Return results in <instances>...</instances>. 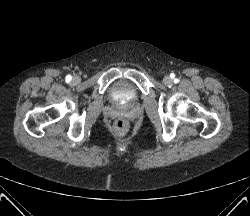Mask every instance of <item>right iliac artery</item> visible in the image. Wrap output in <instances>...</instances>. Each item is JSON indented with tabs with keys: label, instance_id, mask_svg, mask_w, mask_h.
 I'll return each mask as SVG.
<instances>
[{
	"label": "right iliac artery",
	"instance_id": "1",
	"mask_svg": "<svg viewBox=\"0 0 250 216\" xmlns=\"http://www.w3.org/2000/svg\"><path fill=\"white\" fill-rule=\"evenodd\" d=\"M71 79H72L71 75H67V76H66V81H67V82L71 81Z\"/></svg>",
	"mask_w": 250,
	"mask_h": 216
}]
</instances>
